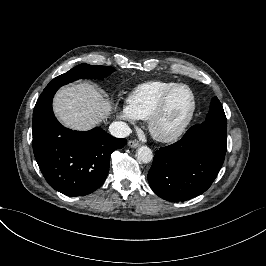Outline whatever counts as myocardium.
Listing matches in <instances>:
<instances>
[{"mask_svg": "<svg viewBox=\"0 0 266 266\" xmlns=\"http://www.w3.org/2000/svg\"><path fill=\"white\" fill-rule=\"evenodd\" d=\"M180 87H186L191 93L192 100H193V106H192L191 113L189 117L187 118V120L185 121V123L175 132L170 133V134L160 133L156 130L155 123L157 119L161 116V114L164 112L166 105L169 99L171 98V96ZM197 110H198V100H197V95L194 89L187 83H178L163 94V96L158 101L157 105L154 107V109L150 113L147 119L149 132L156 140L160 142L176 141L188 130V128L190 127V125L192 124L196 116Z\"/></svg>", "mask_w": 266, "mask_h": 266, "instance_id": "myocardium-1", "label": "myocardium"}]
</instances>
